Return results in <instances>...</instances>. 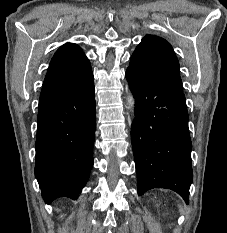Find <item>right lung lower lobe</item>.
Segmentation results:
<instances>
[{
	"label": "right lung lower lobe",
	"instance_id": "obj_1",
	"mask_svg": "<svg viewBox=\"0 0 227 233\" xmlns=\"http://www.w3.org/2000/svg\"><path fill=\"white\" fill-rule=\"evenodd\" d=\"M35 176L45 203L76 200L93 165L96 129L94 82L38 110Z\"/></svg>",
	"mask_w": 227,
	"mask_h": 233
}]
</instances>
